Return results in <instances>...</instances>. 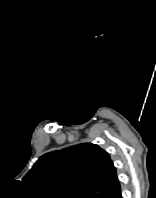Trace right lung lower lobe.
Returning <instances> with one entry per match:
<instances>
[{
  "label": "right lung lower lobe",
  "mask_w": 156,
  "mask_h": 198,
  "mask_svg": "<svg viewBox=\"0 0 156 198\" xmlns=\"http://www.w3.org/2000/svg\"><path fill=\"white\" fill-rule=\"evenodd\" d=\"M116 198H122L121 193L118 196H116Z\"/></svg>",
  "instance_id": "1"
}]
</instances>
